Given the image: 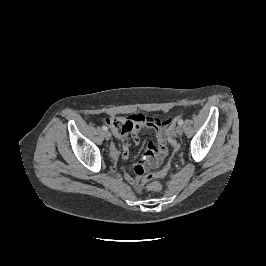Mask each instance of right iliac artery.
I'll return each mask as SVG.
<instances>
[{
  "mask_svg": "<svg viewBox=\"0 0 266 266\" xmlns=\"http://www.w3.org/2000/svg\"><path fill=\"white\" fill-rule=\"evenodd\" d=\"M102 130H103V131H107L108 128H107L106 126H102Z\"/></svg>",
  "mask_w": 266,
  "mask_h": 266,
  "instance_id": "1",
  "label": "right iliac artery"
}]
</instances>
